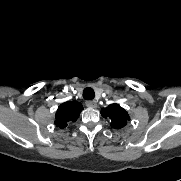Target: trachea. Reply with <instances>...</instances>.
Instances as JSON below:
<instances>
[{"label": "trachea", "instance_id": "trachea-1", "mask_svg": "<svg viewBox=\"0 0 181 181\" xmlns=\"http://www.w3.org/2000/svg\"><path fill=\"white\" fill-rule=\"evenodd\" d=\"M94 96H95V93H94V90L92 88L87 87L84 89L83 98L85 100H92V99H94Z\"/></svg>", "mask_w": 181, "mask_h": 181}]
</instances>
